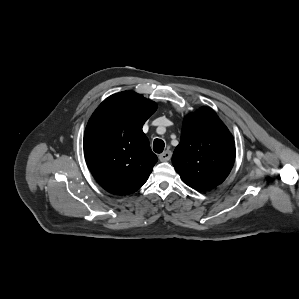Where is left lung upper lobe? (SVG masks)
Masks as SVG:
<instances>
[{"mask_svg": "<svg viewBox=\"0 0 299 299\" xmlns=\"http://www.w3.org/2000/svg\"><path fill=\"white\" fill-rule=\"evenodd\" d=\"M235 153L232 134L212 109L204 107L184 119L172 164L188 186L204 191L226 179Z\"/></svg>", "mask_w": 299, "mask_h": 299, "instance_id": "5c2ea615", "label": "left lung upper lobe"}]
</instances>
